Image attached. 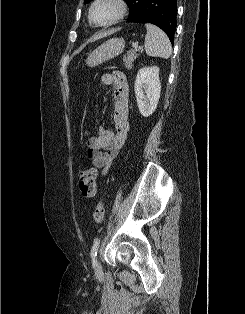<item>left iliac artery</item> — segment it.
<instances>
[{"label": "left iliac artery", "mask_w": 245, "mask_h": 314, "mask_svg": "<svg viewBox=\"0 0 245 314\" xmlns=\"http://www.w3.org/2000/svg\"><path fill=\"white\" fill-rule=\"evenodd\" d=\"M99 244H100V240L99 239H96L94 241V244L92 246V249H91V258L94 260L95 257L97 256V251H98V248H99Z\"/></svg>", "instance_id": "44dca946"}]
</instances>
